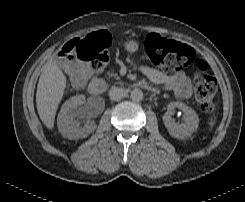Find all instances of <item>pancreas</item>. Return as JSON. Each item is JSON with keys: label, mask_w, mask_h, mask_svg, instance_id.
<instances>
[{"label": "pancreas", "mask_w": 245, "mask_h": 202, "mask_svg": "<svg viewBox=\"0 0 245 202\" xmlns=\"http://www.w3.org/2000/svg\"><path fill=\"white\" fill-rule=\"evenodd\" d=\"M109 76L110 77H113V78H115V79H119L120 77L118 76V74H116V73H109Z\"/></svg>", "instance_id": "pancreas-1"}]
</instances>
